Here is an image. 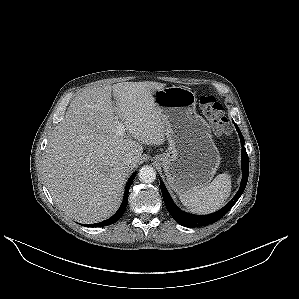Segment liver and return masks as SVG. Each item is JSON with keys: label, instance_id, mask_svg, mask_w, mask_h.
I'll use <instances>...</instances> for the list:
<instances>
[{"label": "liver", "instance_id": "obj_1", "mask_svg": "<svg viewBox=\"0 0 299 299\" xmlns=\"http://www.w3.org/2000/svg\"><path fill=\"white\" fill-rule=\"evenodd\" d=\"M164 87L149 81L122 82L84 90L72 100L43 158L46 186L67 216L95 223L117 211L125 179L141 159L142 144L165 141L166 123L152 98ZM127 155L133 161L124 166Z\"/></svg>", "mask_w": 299, "mask_h": 299}]
</instances>
